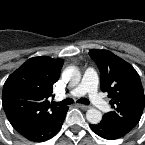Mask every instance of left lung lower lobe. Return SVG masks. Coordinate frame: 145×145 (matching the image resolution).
<instances>
[{"label":"left lung lower lobe","mask_w":145,"mask_h":145,"mask_svg":"<svg viewBox=\"0 0 145 145\" xmlns=\"http://www.w3.org/2000/svg\"><path fill=\"white\" fill-rule=\"evenodd\" d=\"M91 129L93 132H95L97 135H99L102 138L105 139H117L120 138L121 136H124L126 133L114 130L102 123H99L97 125H90Z\"/></svg>","instance_id":"left-lung-lower-lobe-1"}]
</instances>
